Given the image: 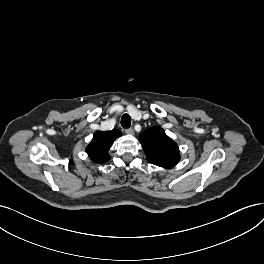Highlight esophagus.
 Instances as JSON below:
<instances>
[{
	"instance_id": "1",
	"label": "esophagus",
	"mask_w": 264,
	"mask_h": 264,
	"mask_svg": "<svg viewBox=\"0 0 264 264\" xmlns=\"http://www.w3.org/2000/svg\"><path fill=\"white\" fill-rule=\"evenodd\" d=\"M125 133L129 134V135H133L134 134V130L132 128L125 129Z\"/></svg>"
}]
</instances>
